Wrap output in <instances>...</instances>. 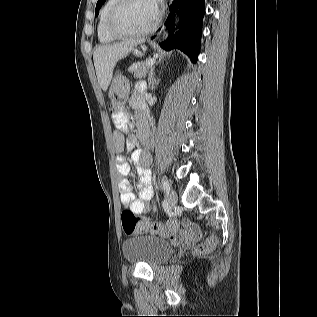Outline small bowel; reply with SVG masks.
<instances>
[{
    "mask_svg": "<svg viewBox=\"0 0 317 317\" xmlns=\"http://www.w3.org/2000/svg\"><path fill=\"white\" fill-rule=\"evenodd\" d=\"M144 90V85L138 83L136 85V92L131 99V104L135 109L142 107V102L139 94ZM113 122L116 129L112 133V146L117 153L116 168L118 173L123 177L119 182V192L121 204L130 208L135 214H143L149 210L150 203L153 200V188L151 185V171L148 167L150 156L148 153V130L147 124L143 116L137 119V137L128 134L129 117L125 112L113 114ZM137 138L141 141L143 148L134 149ZM132 150L131 160L135 164L137 173L139 175L138 181V196L132 191V186L127 179L130 173V164L123 156L124 150ZM198 236V231L194 226H185L181 230L175 231L170 238L173 241L190 242Z\"/></svg>",
    "mask_w": 317,
    "mask_h": 317,
    "instance_id": "small-bowel-1",
    "label": "small bowel"
}]
</instances>
